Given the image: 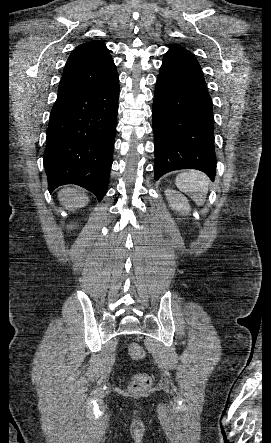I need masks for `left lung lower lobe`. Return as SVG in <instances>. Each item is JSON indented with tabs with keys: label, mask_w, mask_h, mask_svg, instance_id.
<instances>
[{
	"label": "left lung lower lobe",
	"mask_w": 271,
	"mask_h": 443,
	"mask_svg": "<svg viewBox=\"0 0 271 443\" xmlns=\"http://www.w3.org/2000/svg\"><path fill=\"white\" fill-rule=\"evenodd\" d=\"M214 116L201 67L192 53L172 45L155 87L153 133L155 180L192 168L214 180Z\"/></svg>",
	"instance_id": "0a47b994"
}]
</instances>
